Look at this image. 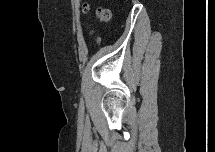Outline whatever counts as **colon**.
Instances as JSON below:
<instances>
[{
  "instance_id": "5ec220e1",
  "label": "colon",
  "mask_w": 215,
  "mask_h": 152,
  "mask_svg": "<svg viewBox=\"0 0 215 152\" xmlns=\"http://www.w3.org/2000/svg\"><path fill=\"white\" fill-rule=\"evenodd\" d=\"M89 10H90L89 5H88V4H85L84 7H83V11H84L85 13H87ZM97 17H98V19H99V21H100L101 23H105V22H107V21L110 19L111 13H110V11H109L108 9H106V8H99V9L97 10Z\"/></svg>"
}]
</instances>
